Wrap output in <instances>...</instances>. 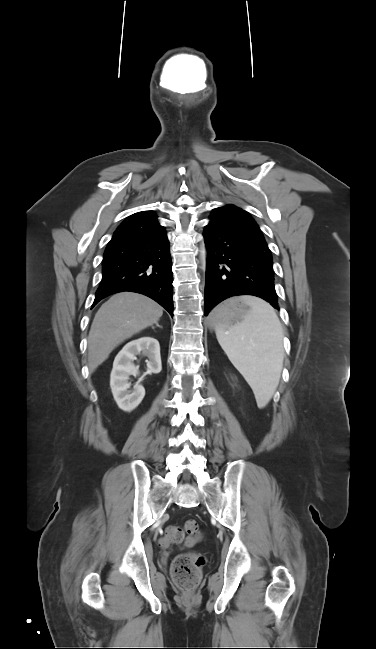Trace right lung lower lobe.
<instances>
[{
    "mask_svg": "<svg viewBox=\"0 0 376 649\" xmlns=\"http://www.w3.org/2000/svg\"><path fill=\"white\" fill-rule=\"evenodd\" d=\"M102 265L103 276L93 306L111 294L132 291L152 298L173 317V275L164 228L108 244Z\"/></svg>",
    "mask_w": 376,
    "mask_h": 649,
    "instance_id": "obj_1",
    "label": "right lung lower lobe"
}]
</instances>
